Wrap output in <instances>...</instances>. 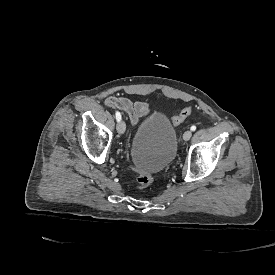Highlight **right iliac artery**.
<instances>
[{"mask_svg":"<svg viewBox=\"0 0 275 275\" xmlns=\"http://www.w3.org/2000/svg\"><path fill=\"white\" fill-rule=\"evenodd\" d=\"M115 115H116V120L119 122L121 120V114L118 111H116Z\"/></svg>","mask_w":275,"mask_h":275,"instance_id":"obj_1","label":"right iliac artery"}]
</instances>
